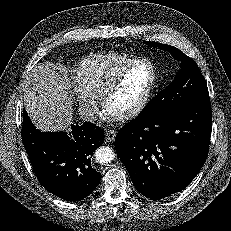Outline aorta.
<instances>
[{
    "mask_svg": "<svg viewBox=\"0 0 231 231\" xmlns=\"http://www.w3.org/2000/svg\"><path fill=\"white\" fill-rule=\"evenodd\" d=\"M115 158V153L110 147H100L95 151V159L100 164H108Z\"/></svg>",
    "mask_w": 231,
    "mask_h": 231,
    "instance_id": "obj_1",
    "label": "aorta"
}]
</instances>
